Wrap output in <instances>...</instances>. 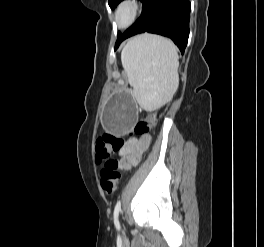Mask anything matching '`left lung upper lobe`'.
<instances>
[{"instance_id":"5c2ea615","label":"left lung upper lobe","mask_w":264,"mask_h":247,"mask_svg":"<svg viewBox=\"0 0 264 247\" xmlns=\"http://www.w3.org/2000/svg\"><path fill=\"white\" fill-rule=\"evenodd\" d=\"M122 0H109L108 1V4L110 6L111 9L115 8L117 6L118 3H120ZM142 3L145 1V0H140ZM121 36V33L119 32L118 33V37Z\"/></svg>"}]
</instances>
